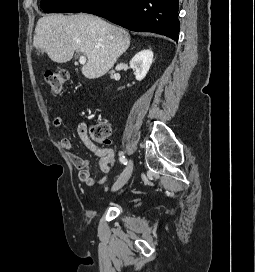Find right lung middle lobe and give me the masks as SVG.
I'll use <instances>...</instances> for the list:
<instances>
[{
    "instance_id": "right-lung-middle-lobe-1",
    "label": "right lung middle lobe",
    "mask_w": 255,
    "mask_h": 272,
    "mask_svg": "<svg viewBox=\"0 0 255 272\" xmlns=\"http://www.w3.org/2000/svg\"><path fill=\"white\" fill-rule=\"evenodd\" d=\"M97 0H42L40 6L46 13L83 12Z\"/></svg>"
}]
</instances>
